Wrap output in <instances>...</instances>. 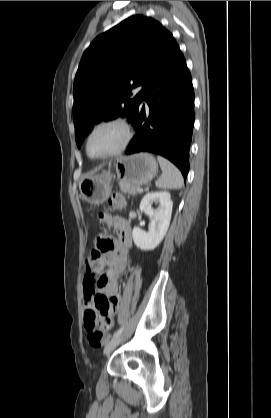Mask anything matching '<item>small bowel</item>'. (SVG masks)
<instances>
[{"instance_id":"obj_1","label":"small bowel","mask_w":271,"mask_h":418,"mask_svg":"<svg viewBox=\"0 0 271 418\" xmlns=\"http://www.w3.org/2000/svg\"><path fill=\"white\" fill-rule=\"evenodd\" d=\"M112 224L119 233L120 241L100 260H89L87 275L83 281L85 313L95 309L97 289L108 300L107 307L99 311L106 329L112 327L113 315L118 311L120 299L118 281L128 265V248L131 246V232L128 223L122 218L115 217L112 219ZM104 264H107L108 268L101 277H98L96 288L92 274L101 271Z\"/></svg>"}]
</instances>
